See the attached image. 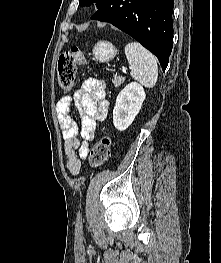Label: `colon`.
Returning a JSON list of instances; mask_svg holds the SVG:
<instances>
[{"instance_id": "5ec220e1", "label": "colon", "mask_w": 221, "mask_h": 263, "mask_svg": "<svg viewBox=\"0 0 221 263\" xmlns=\"http://www.w3.org/2000/svg\"><path fill=\"white\" fill-rule=\"evenodd\" d=\"M85 62V56L81 49L73 47L70 50L60 54L57 63V78L61 89L69 91L74 84L78 65ZM111 150V139L104 136L99 139L89 154V164L91 166H99L103 164L109 157Z\"/></svg>"}]
</instances>
